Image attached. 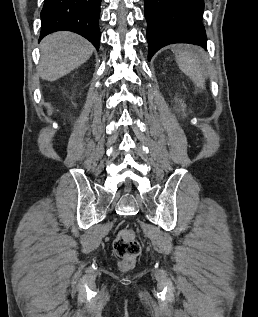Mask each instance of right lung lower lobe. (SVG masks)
Returning a JSON list of instances; mask_svg holds the SVG:
<instances>
[{"label": "right lung lower lobe", "instance_id": "1", "mask_svg": "<svg viewBox=\"0 0 258 317\" xmlns=\"http://www.w3.org/2000/svg\"><path fill=\"white\" fill-rule=\"evenodd\" d=\"M101 0H45L41 11V40L56 31H72L99 50Z\"/></svg>", "mask_w": 258, "mask_h": 317}]
</instances>
